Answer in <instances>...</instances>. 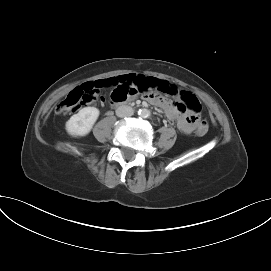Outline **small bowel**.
I'll use <instances>...</instances> for the list:
<instances>
[{
	"label": "small bowel",
	"mask_w": 271,
	"mask_h": 271,
	"mask_svg": "<svg viewBox=\"0 0 271 271\" xmlns=\"http://www.w3.org/2000/svg\"><path fill=\"white\" fill-rule=\"evenodd\" d=\"M81 87H91L97 93L100 89H113L110 94L111 102H128L132 97H142L147 102L162 108L167 117L177 123L182 133L190 134L195 127L192 115L181 111L177 103L168 99V94H175L176 87L166 80L129 74L86 82ZM154 91H157V96L154 94ZM96 99L97 94L92 102L96 101Z\"/></svg>",
	"instance_id": "small-bowel-1"
}]
</instances>
